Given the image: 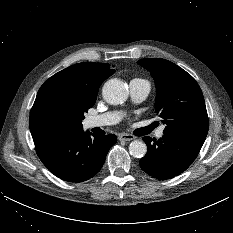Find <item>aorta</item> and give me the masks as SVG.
<instances>
[{
	"instance_id": "obj_1",
	"label": "aorta",
	"mask_w": 233,
	"mask_h": 233,
	"mask_svg": "<svg viewBox=\"0 0 233 233\" xmlns=\"http://www.w3.org/2000/svg\"><path fill=\"white\" fill-rule=\"evenodd\" d=\"M128 94V88L117 79L108 80L102 88L104 100L111 105L124 103ZM129 152L133 157L142 158L147 152V146L143 141L134 140L129 145Z\"/></svg>"
}]
</instances>
